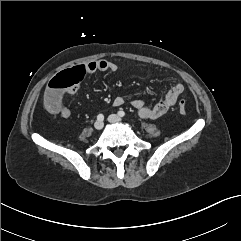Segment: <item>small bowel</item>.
<instances>
[{
    "instance_id": "1",
    "label": "small bowel",
    "mask_w": 241,
    "mask_h": 241,
    "mask_svg": "<svg viewBox=\"0 0 241 241\" xmlns=\"http://www.w3.org/2000/svg\"><path fill=\"white\" fill-rule=\"evenodd\" d=\"M83 66H85L87 69V73L96 71L115 73L118 70L116 63L107 60L91 61L84 64ZM77 89V86H73L59 99L53 108H48V111L52 114H58L65 119L70 118L72 115L71 110L64 106L62 101L65 95H73L77 92ZM183 91V84L176 82L166 93L165 97L151 107L147 106L141 99H134L132 100L131 104L138 110L140 117L145 119H157L164 115L172 106H174L178 97L183 93ZM112 103L115 107H119L125 103V100L121 96H116Z\"/></svg>"
}]
</instances>
